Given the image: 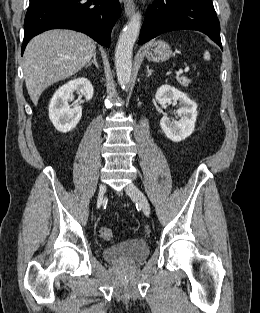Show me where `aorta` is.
I'll return each mask as SVG.
<instances>
[{
  "label": "aorta",
  "mask_w": 260,
  "mask_h": 313,
  "mask_svg": "<svg viewBox=\"0 0 260 313\" xmlns=\"http://www.w3.org/2000/svg\"><path fill=\"white\" fill-rule=\"evenodd\" d=\"M141 26V14L136 12L123 28L115 51V68L117 79L122 87L131 80L133 47L138 38Z\"/></svg>",
  "instance_id": "obj_1"
}]
</instances>
